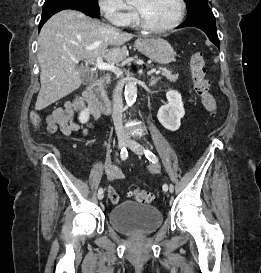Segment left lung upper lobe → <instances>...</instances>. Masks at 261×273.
<instances>
[{"instance_id": "5c2ea615", "label": "left lung upper lobe", "mask_w": 261, "mask_h": 273, "mask_svg": "<svg viewBox=\"0 0 261 273\" xmlns=\"http://www.w3.org/2000/svg\"><path fill=\"white\" fill-rule=\"evenodd\" d=\"M184 1L186 2L188 14L191 13L192 10L200 6L208 5L207 0H184Z\"/></svg>"}]
</instances>
